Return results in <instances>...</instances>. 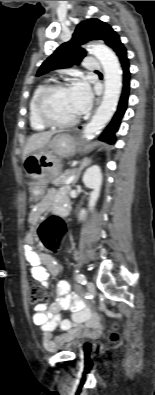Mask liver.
Here are the masks:
<instances>
[{
    "label": "liver",
    "instance_id": "obj_1",
    "mask_svg": "<svg viewBox=\"0 0 155 395\" xmlns=\"http://www.w3.org/2000/svg\"><path fill=\"white\" fill-rule=\"evenodd\" d=\"M55 133V131H48L31 135L24 148L23 161L29 154L46 147Z\"/></svg>",
    "mask_w": 155,
    "mask_h": 395
}]
</instances>
